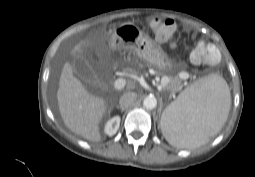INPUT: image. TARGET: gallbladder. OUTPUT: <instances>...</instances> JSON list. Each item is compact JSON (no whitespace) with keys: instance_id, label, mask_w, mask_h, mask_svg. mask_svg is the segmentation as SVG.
Instances as JSON below:
<instances>
[{"instance_id":"gallbladder-1","label":"gallbladder","mask_w":255,"mask_h":177,"mask_svg":"<svg viewBox=\"0 0 255 177\" xmlns=\"http://www.w3.org/2000/svg\"><path fill=\"white\" fill-rule=\"evenodd\" d=\"M71 66L74 73L84 82L91 84L97 80V76L89 61L82 54L77 55L71 60Z\"/></svg>"}]
</instances>
